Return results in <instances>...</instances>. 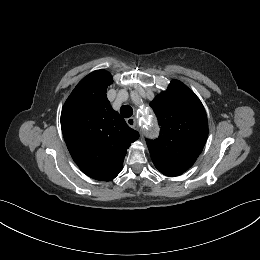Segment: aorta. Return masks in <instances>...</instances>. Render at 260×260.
I'll return each instance as SVG.
<instances>
[{"instance_id":"1","label":"aorta","mask_w":260,"mask_h":260,"mask_svg":"<svg viewBox=\"0 0 260 260\" xmlns=\"http://www.w3.org/2000/svg\"><path fill=\"white\" fill-rule=\"evenodd\" d=\"M144 119H145V122H143L144 130L149 133L150 129H151V124H152V120L150 121L149 113H148V115L146 117H144Z\"/></svg>"}]
</instances>
